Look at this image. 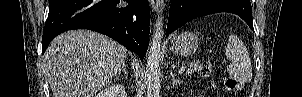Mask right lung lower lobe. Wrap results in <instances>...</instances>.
Returning <instances> with one entry per match:
<instances>
[{
    "instance_id": "1",
    "label": "right lung lower lobe",
    "mask_w": 302,
    "mask_h": 97,
    "mask_svg": "<svg viewBox=\"0 0 302 97\" xmlns=\"http://www.w3.org/2000/svg\"><path fill=\"white\" fill-rule=\"evenodd\" d=\"M148 0H49L42 53L58 34L93 30L118 41L142 59L149 44Z\"/></svg>"
}]
</instances>
